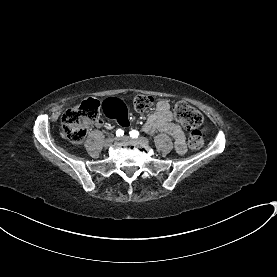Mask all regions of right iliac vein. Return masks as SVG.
I'll return each instance as SVG.
<instances>
[{
	"label": "right iliac vein",
	"mask_w": 277,
	"mask_h": 277,
	"mask_svg": "<svg viewBox=\"0 0 277 277\" xmlns=\"http://www.w3.org/2000/svg\"><path fill=\"white\" fill-rule=\"evenodd\" d=\"M113 142H114V138L113 137L112 138H108V139L105 140L104 146L105 147H109V146L112 145Z\"/></svg>",
	"instance_id": "1"
}]
</instances>
